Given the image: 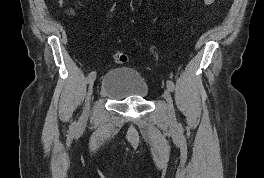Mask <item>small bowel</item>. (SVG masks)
Listing matches in <instances>:
<instances>
[{
    "label": "small bowel",
    "instance_id": "1",
    "mask_svg": "<svg viewBox=\"0 0 264 178\" xmlns=\"http://www.w3.org/2000/svg\"><path fill=\"white\" fill-rule=\"evenodd\" d=\"M214 0H206L205 2L207 3V4H210V3H212Z\"/></svg>",
    "mask_w": 264,
    "mask_h": 178
}]
</instances>
